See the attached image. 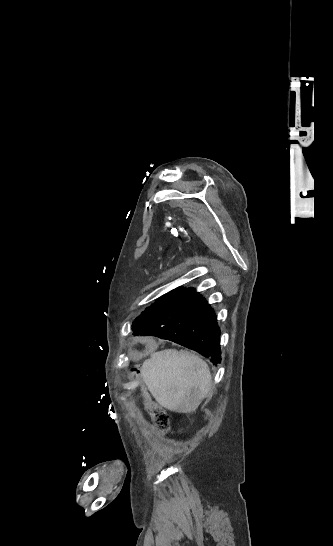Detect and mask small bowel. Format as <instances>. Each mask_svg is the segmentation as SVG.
Wrapping results in <instances>:
<instances>
[{"instance_id":"obj_1","label":"small bowel","mask_w":333,"mask_h":546,"mask_svg":"<svg viewBox=\"0 0 333 546\" xmlns=\"http://www.w3.org/2000/svg\"><path fill=\"white\" fill-rule=\"evenodd\" d=\"M152 337L153 336L151 334H148L146 337H142L138 340L140 343H142V346L144 347L143 353L145 355H153L155 353V348L158 347V340ZM134 358L136 361H142L145 357L142 354H136Z\"/></svg>"}]
</instances>
